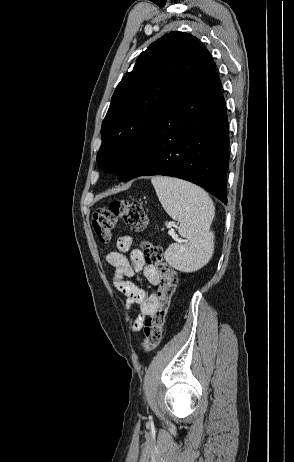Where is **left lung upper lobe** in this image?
I'll list each match as a JSON object with an SVG mask.
<instances>
[{"instance_id": "obj_1", "label": "left lung upper lobe", "mask_w": 294, "mask_h": 462, "mask_svg": "<svg viewBox=\"0 0 294 462\" xmlns=\"http://www.w3.org/2000/svg\"><path fill=\"white\" fill-rule=\"evenodd\" d=\"M209 51L184 32H170L152 43L121 80L101 128L99 166L118 171L157 116L190 83L215 70Z\"/></svg>"}]
</instances>
